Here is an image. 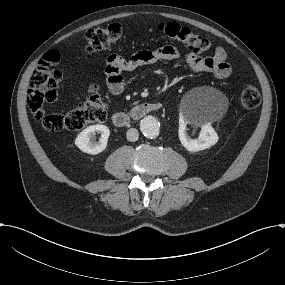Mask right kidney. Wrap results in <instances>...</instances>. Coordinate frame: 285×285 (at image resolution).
<instances>
[{
  "mask_svg": "<svg viewBox=\"0 0 285 285\" xmlns=\"http://www.w3.org/2000/svg\"><path fill=\"white\" fill-rule=\"evenodd\" d=\"M101 133V139L98 145L92 144L89 139L95 132ZM110 136V129L106 125L95 124L88 126L81 131L74 140L75 146L83 153L89 155H98L105 151L108 145V138Z\"/></svg>",
  "mask_w": 285,
  "mask_h": 285,
  "instance_id": "obj_1",
  "label": "right kidney"
}]
</instances>
